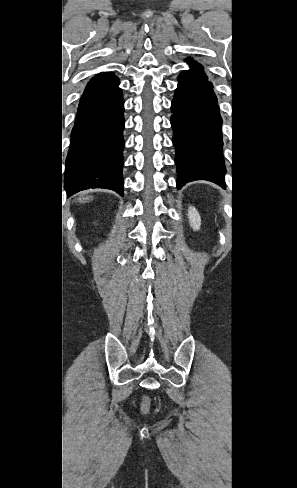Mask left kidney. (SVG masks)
<instances>
[{"mask_svg":"<svg viewBox=\"0 0 297 488\" xmlns=\"http://www.w3.org/2000/svg\"><path fill=\"white\" fill-rule=\"evenodd\" d=\"M188 219L191 227L194 230H198L201 225V218L198 211L194 207H189L188 209Z\"/></svg>","mask_w":297,"mask_h":488,"instance_id":"5707ae66","label":"left kidney"}]
</instances>
